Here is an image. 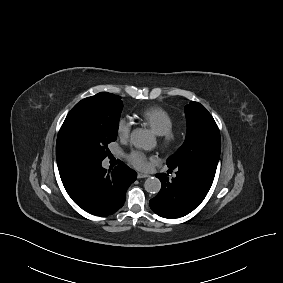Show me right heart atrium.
Listing matches in <instances>:
<instances>
[{"mask_svg":"<svg viewBox=\"0 0 283 283\" xmlns=\"http://www.w3.org/2000/svg\"><path fill=\"white\" fill-rule=\"evenodd\" d=\"M132 129V121L129 117H121L117 124V133L121 139H127Z\"/></svg>","mask_w":283,"mask_h":283,"instance_id":"d8ad5b80","label":"right heart atrium"}]
</instances>
